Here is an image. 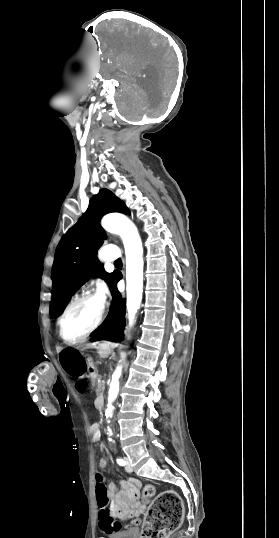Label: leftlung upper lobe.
I'll list each match as a JSON object with an SVG mask.
<instances>
[{
	"instance_id": "1",
	"label": "left lung upper lobe",
	"mask_w": 279,
	"mask_h": 538,
	"mask_svg": "<svg viewBox=\"0 0 279 538\" xmlns=\"http://www.w3.org/2000/svg\"><path fill=\"white\" fill-rule=\"evenodd\" d=\"M110 212L130 214L119 198L109 190L102 189L91 198L87 211L58 244L52 272L53 301L50 306L52 318L59 316L71 296L91 276L104 279L112 291L117 276L114 272L106 273L103 265H98L96 259L97 251L106 238L100 220L103 215ZM112 310L113 306L108 316Z\"/></svg>"
}]
</instances>
